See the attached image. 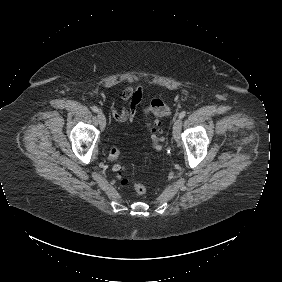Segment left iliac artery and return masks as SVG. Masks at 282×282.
I'll return each instance as SVG.
<instances>
[{
	"label": "left iliac artery",
	"instance_id": "44dca946",
	"mask_svg": "<svg viewBox=\"0 0 282 282\" xmlns=\"http://www.w3.org/2000/svg\"><path fill=\"white\" fill-rule=\"evenodd\" d=\"M186 115V111H182L180 114H179V118H183L185 117Z\"/></svg>",
	"mask_w": 282,
	"mask_h": 282
}]
</instances>
